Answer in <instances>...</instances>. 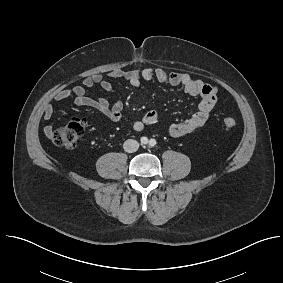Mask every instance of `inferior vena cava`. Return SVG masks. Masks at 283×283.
Listing matches in <instances>:
<instances>
[{
	"mask_svg": "<svg viewBox=\"0 0 283 283\" xmlns=\"http://www.w3.org/2000/svg\"><path fill=\"white\" fill-rule=\"evenodd\" d=\"M123 148L128 153L136 152L139 148V143L134 139H128L124 142Z\"/></svg>",
	"mask_w": 283,
	"mask_h": 283,
	"instance_id": "obj_1",
	"label": "inferior vena cava"
}]
</instances>
